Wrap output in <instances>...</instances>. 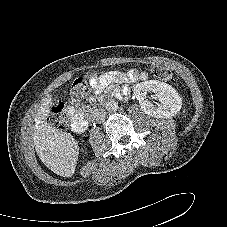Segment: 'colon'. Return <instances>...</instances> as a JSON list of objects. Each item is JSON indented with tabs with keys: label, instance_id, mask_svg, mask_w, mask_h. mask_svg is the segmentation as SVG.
<instances>
[{
	"label": "colon",
	"instance_id": "obj_1",
	"mask_svg": "<svg viewBox=\"0 0 227 227\" xmlns=\"http://www.w3.org/2000/svg\"><path fill=\"white\" fill-rule=\"evenodd\" d=\"M149 71L160 80L170 82L175 81L171 72L164 66L154 64L149 66ZM92 79L93 74H86L78 77L71 85V96L76 98L85 96L89 92ZM47 120L50 125L59 129H64L67 123L64 105L60 102L53 103L50 107Z\"/></svg>",
	"mask_w": 227,
	"mask_h": 227
}]
</instances>
